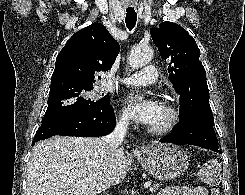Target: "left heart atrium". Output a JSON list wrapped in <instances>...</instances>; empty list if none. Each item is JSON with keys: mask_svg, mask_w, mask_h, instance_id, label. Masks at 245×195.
<instances>
[{"mask_svg": "<svg viewBox=\"0 0 245 195\" xmlns=\"http://www.w3.org/2000/svg\"><path fill=\"white\" fill-rule=\"evenodd\" d=\"M125 103L131 116L139 123L150 125L159 110V103L152 99L141 98L131 93L125 96Z\"/></svg>", "mask_w": 245, "mask_h": 195, "instance_id": "1", "label": "left heart atrium"}]
</instances>
